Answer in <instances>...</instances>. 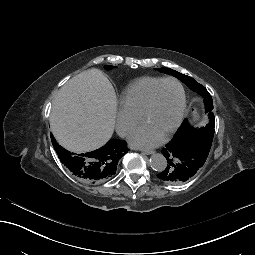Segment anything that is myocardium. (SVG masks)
<instances>
[{
	"mask_svg": "<svg viewBox=\"0 0 255 255\" xmlns=\"http://www.w3.org/2000/svg\"><path fill=\"white\" fill-rule=\"evenodd\" d=\"M167 82H172L178 85V87L180 88V92H181V106H180V111H179V115L178 118L175 122V124L173 125V127L170 129V131L168 132V134L163 138L164 141H168L172 138V136L176 133V131L179 129V127L181 126L183 119H184V115H185V111H186V92L185 89L182 85V83L177 80L176 78L173 77H167L164 78L162 80H160L150 91L148 99L141 111L140 114V121L142 122L143 118L145 116H147V114L150 112L153 103H154V99H155V95L157 93V90L159 89V87Z\"/></svg>",
	"mask_w": 255,
	"mask_h": 255,
	"instance_id": "obj_1",
	"label": "myocardium"
}]
</instances>
